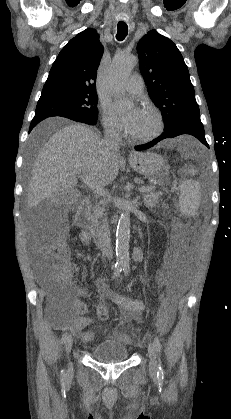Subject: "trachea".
<instances>
[{
	"mask_svg": "<svg viewBox=\"0 0 231 419\" xmlns=\"http://www.w3.org/2000/svg\"><path fill=\"white\" fill-rule=\"evenodd\" d=\"M117 34H116V38L118 41H122L125 39V37L127 36L128 33V26L125 22H119L118 26H117Z\"/></svg>",
	"mask_w": 231,
	"mask_h": 419,
	"instance_id": "trachea-1",
	"label": "trachea"
}]
</instances>
